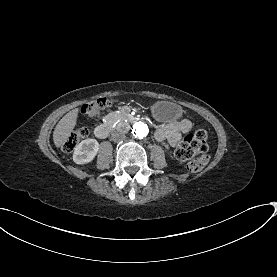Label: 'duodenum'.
Listing matches in <instances>:
<instances>
[{"label":"duodenum","instance_id":"obj_1","mask_svg":"<svg viewBox=\"0 0 277 277\" xmlns=\"http://www.w3.org/2000/svg\"><path fill=\"white\" fill-rule=\"evenodd\" d=\"M131 123L130 119L124 120L118 124L120 130H124L129 127ZM111 130V126L108 124H99L96 126L94 133L98 138H105Z\"/></svg>","mask_w":277,"mask_h":277}]
</instances>
